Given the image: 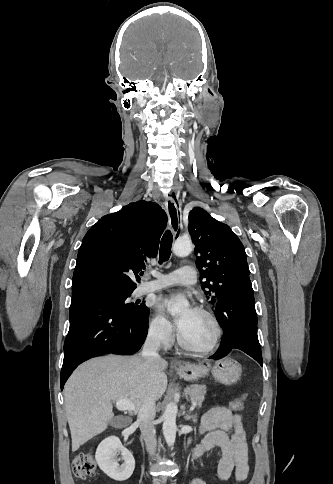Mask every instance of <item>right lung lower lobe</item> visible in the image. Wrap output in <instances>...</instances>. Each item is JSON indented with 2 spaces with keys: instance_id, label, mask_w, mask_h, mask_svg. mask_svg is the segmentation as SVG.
Returning <instances> with one entry per match:
<instances>
[{
  "instance_id": "1",
  "label": "right lung lower lobe",
  "mask_w": 333,
  "mask_h": 484,
  "mask_svg": "<svg viewBox=\"0 0 333 484\" xmlns=\"http://www.w3.org/2000/svg\"><path fill=\"white\" fill-rule=\"evenodd\" d=\"M148 332V318L137 319L117 309L99 291L72 295L70 328L64 343L61 389L83 361L104 354L137 352Z\"/></svg>"
}]
</instances>
